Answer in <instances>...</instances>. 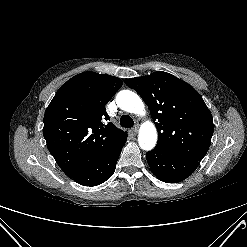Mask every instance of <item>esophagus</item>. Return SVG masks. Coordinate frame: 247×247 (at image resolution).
<instances>
[{
	"mask_svg": "<svg viewBox=\"0 0 247 247\" xmlns=\"http://www.w3.org/2000/svg\"><path fill=\"white\" fill-rule=\"evenodd\" d=\"M138 130H139V126H138V125H135V126L132 128V132L135 133V134L138 132Z\"/></svg>",
	"mask_w": 247,
	"mask_h": 247,
	"instance_id": "esophagus-1",
	"label": "esophagus"
}]
</instances>
